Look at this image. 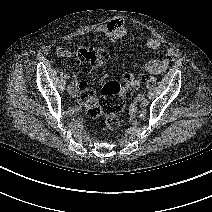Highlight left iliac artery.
<instances>
[{
	"mask_svg": "<svg viewBox=\"0 0 212 212\" xmlns=\"http://www.w3.org/2000/svg\"><path fill=\"white\" fill-rule=\"evenodd\" d=\"M149 104V100L146 97H143V105L147 106Z\"/></svg>",
	"mask_w": 212,
	"mask_h": 212,
	"instance_id": "1",
	"label": "left iliac artery"
}]
</instances>
